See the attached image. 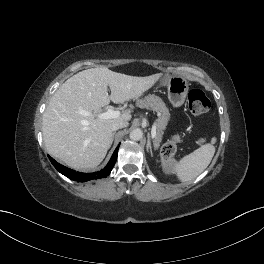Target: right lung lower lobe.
<instances>
[{
  "instance_id": "obj_1",
  "label": "right lung lower lobe",
  "mask_w": 264,
  "mask_h": 264,
  "mask_svg": "<svg viewBox=\"0 0 264 264\" xmlns=\"http://www.w3.org/2000/svg\"><path fill=\"white\" fill-rule=\"evenodd\" d=\"M117 154H118V147L116 148V150L114 151L109 163L106 165V167L104 169H102L99 172H94V173H80V172H76L74 170H71L67 167L62 166L61 164L57 163L52 157H49L51 163L53 164V166L63 175H65L66 177H68L71 180L74 181H78V182H85V181H89L92 179H100V178H105L107 177L112 168L114 167V164L117 160Z\"/></svg>"
}]
</instances>
